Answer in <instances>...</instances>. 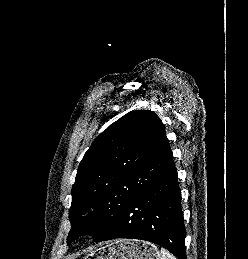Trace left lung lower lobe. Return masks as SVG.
<instances>
[{
	"label": "left lung lower lobe",
	"mask_w": 248,
	"mask_h": 259,
	"mask_svg": "<svg viewBox=\"0 0 248 259\" xmlns=\"http://www.w3.org/2000/svg\"><path fill=\"white\" fill-rule=\"evenodd\" d=\"M181 192L174 163L144 194L134 200L95 242L131 238L156 243L186 259Z\"/></svg>",
	"instance_id": "left-lung-lower-lobe-1"
}]
</instances>
